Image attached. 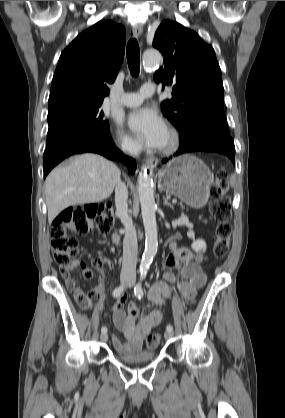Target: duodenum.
<instances>
[{"label":"duodenum","instance_id":"410a0bca","mask_svg":"<svg viewBox=\"0 0 285 418\" xmlns=\"http://www.w3.org/2000/svg\"><path fill=\"white\" fill-rule=\"evenodd\" d=\"M113 240H114L116 243H118V242H119V240H120V235H119L118 233H114V234H113Z\"/></svg>","mask_w":285,"mask_h":418}]
</instances>
